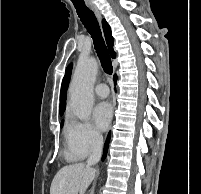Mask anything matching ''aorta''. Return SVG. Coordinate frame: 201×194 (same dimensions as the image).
Wrapping results in <instances>:
<instances>
[{
  "label": "aorta",
  "mask_w": 201,
  "mask_h": 194,
  "mask_svg": "<svg viewBox=\"0 0 201 194\" xmlns=\"http://www.w3.org/2000/svg\"><path fill=\"white\" fill-rule=\"evenodd\" d=\"M97 72L95 58L79 60L75 68L70 86V109L80 120H87L91 115Z\"/></svg>",
  "instance_id": "obj_1"
}]
</instances>
